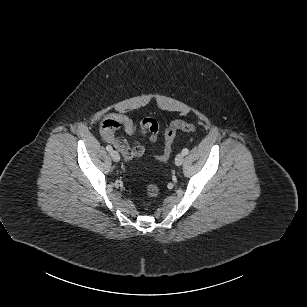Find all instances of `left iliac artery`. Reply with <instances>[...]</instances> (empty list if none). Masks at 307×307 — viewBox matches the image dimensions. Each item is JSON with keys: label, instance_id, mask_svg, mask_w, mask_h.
<instances>
[{"label": "left iliac artery", "instance_id": "1", "mask_svg": "<svg viewBox=\"0 0 307 307\" xmlns=\"http://www.w3.org/2000/svg\"><path fill=\"white\" fill-rule=\"evenodd\" d=\"M182 153H183L184 155H187V154L189 153V149L184 148V149L182 150Z\"/></svg>", "mask_w": 307, "mask_h": 307}]
</instances>
